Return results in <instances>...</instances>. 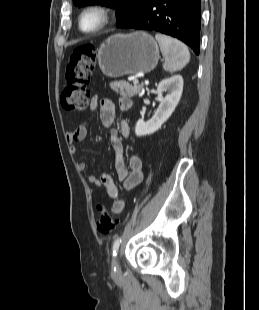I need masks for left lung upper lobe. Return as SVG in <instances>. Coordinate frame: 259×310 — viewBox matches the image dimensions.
Segmentation results:
<instances>
[{
  "label": "left lung upper lobe",
  "mask_w": 259,
  "mask_h": 310,
  "mask_svg": "<svg viewBox=\"0 0 259 310\" xmlns=\"http://www.w3.org/2000/svg\"><path fill=\"white\" fill-rule=\"evenodd\" d=\"M152 0H73L78 7L101 4L116 8L117 27L142 11Z\"/></svg>",
  "instance_id": "obj_1"
}]
</instances>
